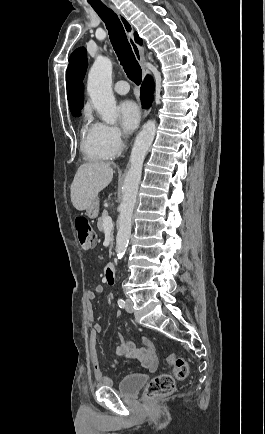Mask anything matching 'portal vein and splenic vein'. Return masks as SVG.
Returning <instances> with one entry per match:
<instances>
[{
	"mask_svg": "<svg viewBox=\"0 0 265 434\" xmlns=\"http://www.w3.org/2000/svg\"><path fill=\"white\" fill-rule=\"evenodd\" d=\"M104 230H112L113 228V222H112V218H110V216H106V218H104Z\"/></svg>",
	"mask_w": 265,
	"mask_h": 434,
	"instance_id": "18ae733b",
	"label": "portal vein and splenic vein"
}]
</instances>
